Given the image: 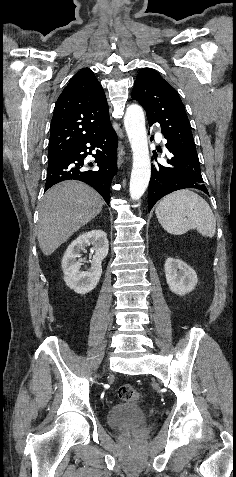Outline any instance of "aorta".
<instances>
[{"label":"aorta","instance_id":"762f6f07","mask_svg":"<svg viewBox=\"0 0 236 477\" xmlns=\"http://www.w3.org/2000/svg\"><path fill=\"white\" fill-rule=\"evenodd\" d=\"M124 125L133 153L129 192L132 200H139L146 191L151 176L145 116L141 106L131 104L127 107Z\"/></svg>","mask_w":236,"mask_h":477}]
</instances>
